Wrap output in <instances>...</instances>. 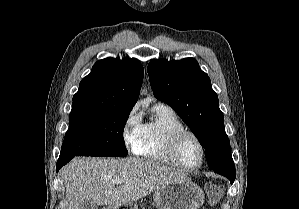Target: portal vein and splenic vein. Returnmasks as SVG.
<instances>
[{
	"label": "portal vein and splenic vein",
	"mask_w": 299,
	"mask_h": 209,
	"mask_svg": "<svg viewBox=\"0 0 299 209\" xmlns=\"http://www.w3.org/2000/svg\"><path fill=\"white\" fill-rule=\"evenodd\" d=\"M123 181L122 180H116L115 183L121 184Z\"/></svg>",
	"instance_id": "18ae733b"
}]
</instances>
